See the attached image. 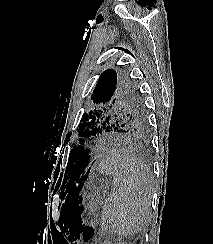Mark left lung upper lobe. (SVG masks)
<instances>
[{
    "mask_svg": "<svg viewBox=\"0 0 213 244\" xmlns=\"http://www.w3.org/2000/svg\"><path fill=\"white\" fill-rule=\"evenodd\" d=\"M95 106L84 113L78 126L80 145L73 146L66 167L62 192L72 191L81 182L90 162V153L82 145L103 134H124L137 138L148 136L147 113L137 85L124 73L104 71L91 96Z\"/></svg>",
    "mask_w": 213,
    "mask_h": 244,
    "instance_id": "5c2ea615",
    "label": "left lung upper lobe"
}]
</instances>
